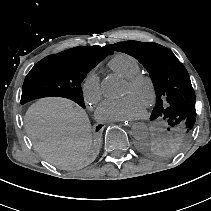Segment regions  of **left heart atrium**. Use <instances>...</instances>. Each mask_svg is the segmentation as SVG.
<instances>
[{
    "label": "left heart atrium",
    "instance_id": "obj_1",
    "mask_svg": "<svg viewBox=\"0 0 211 211\" xmlns=\"http://www.w3.org/2000/svg\"><path fill=\"white\" fill-rule=\"evenodd\" d=\"M145 105L133 94L106 99L98 107L96 117L101 121L137 119L144 115Z\"/></svg>",
    "mask_w": 211,
    "mask_h": 211
}]
</instances>
